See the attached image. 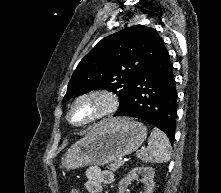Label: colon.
<instances>
[{
    "label": "colon",
    "instance_id": "5ec220e1",
    "mask_svg": "<svg viewBox=\"0 0 221 193\" xmlns=\"http://www.w3.org/2000/svg\"><path fill=\"white\" fill-rule=\"evenodd\" d=\"M74 189L77 191V193H80V190H79L78 188H73L72 190H74ZM71 192H72V191H71ZM71 192H70V193H71Z\"/></svg>",
    "mask_w": 221,
    "mask_h": 193
}]
</instances>
